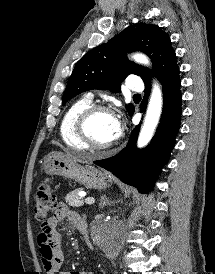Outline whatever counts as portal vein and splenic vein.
Masks as SVG:
<instances>
[{
  "label": "portal vein and splenic vein",
  "instance_id": "obj_1",
  "mask_svg": "<svg viewBox=\"0 0 215 274\" xmlns=\"http://www.w3.org/2000/svg\"><path fill=\"white\" fill-rule=\"evenodd\" d=\"M94 202H95V199L93 197H87L85 199V203L88 205H92V204H94Z\"/></svg>",
  "mask_w": 215,
  "mask_h": 274
}]
</instances>
